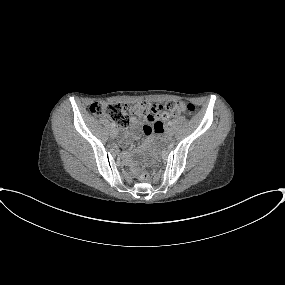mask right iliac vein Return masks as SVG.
Listing matches in <instances>:
<instances>
[{
	"mask_svg": "<svg viewBox=\"0 0 285 285\" xmlns=\"http://www.w3.org/2000/svg\"><path fill=\"white\" fill-rule=\"evenodd\" d=\"M117 133H118L117 129H112V130L110 131V135H111V137H113V138L116 137Z\"/></svg>",
	"mask_w": 285,
	"mask_h": 285,
	"instance_id": "right-iliac-vein-1",
	"label": "right iliac vein"
}]
</instances>
